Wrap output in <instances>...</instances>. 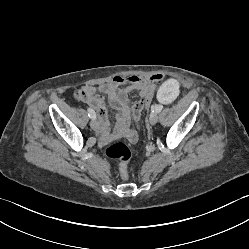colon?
<instances>
[{"mask_svg":"<svg viewBox=\"0 0 249 249\" xmlns=\"http://www.w3.org/2000/svg\"><path fill=\"white\" fill-rule=\"evenodd\" d=\"M148 102L145 98H140L134 105V116L136 122H141L142 114L145 111ZM104 153L109 158L118 159L120 161V171L123 179L128 177V163L131 158V151L128 146L122 142H114L108 145Z\"/></svg>","mask_w":249,"mask_h":249,"instance_id":"1","label":"colon"}]
</instances>
